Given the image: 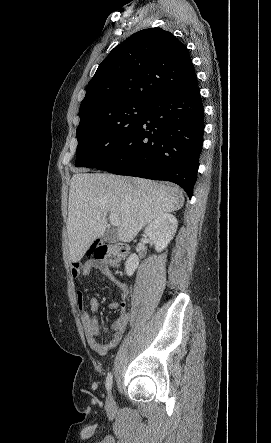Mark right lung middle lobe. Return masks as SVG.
I'll return each instance as SVG.
<instances>
[{"mask_svg": "<svg viewBox=\"0 0 271 443\" xmlns=\"http://www.w3.org/2000/svg\"><path fill=\"white\" fill-rule=\"evenodd\" d=\"M149 103L125 102L80 121L75 165L97 168L107 161L143 119Z\"/></svg>", "mask_w": 271, "mask_h": 443, "instance_id": "obj_1", "label": "right lung middle lobe"}]
</instances>
